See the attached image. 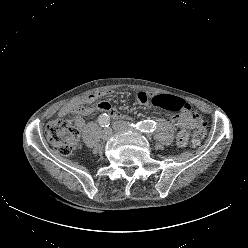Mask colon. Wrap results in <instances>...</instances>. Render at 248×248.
Listing matches in <instances>:
<instances>
[{
	"instance_id": "colon-1",
	"label": "colon",
	"mask_w": 248,
	"mask_h": 248,
	"mask_svg": "<svg viewBox=\"0 0 248 248\" xmlns=\"http://www.w3.org/2000/svg\"><path fill=\"white\" fill-rule=\"evenodd\" d=\"M150 103L154 108H160L170 112L190 111V108L181 98L161 94L150 98ZM197 118L196 114L191 115ZM46 138L52 147L62 156H69L77 143L79 138V130L76 122L68 119H55L51 121L45 130ZM205 136V128L203 121L200 120L198 126L195 128L192 145L199 146Z\"/></svg>"
}]
</instances>
